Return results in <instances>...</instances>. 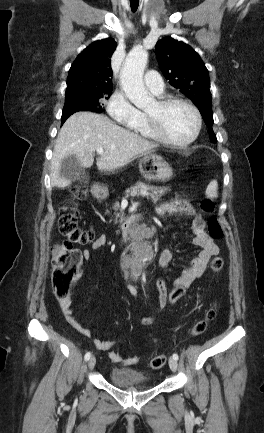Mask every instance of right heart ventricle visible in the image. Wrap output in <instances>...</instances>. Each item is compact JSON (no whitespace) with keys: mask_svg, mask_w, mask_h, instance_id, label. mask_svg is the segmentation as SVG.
Wrapping results in <instances>:
<instances>
[{"mask_svg":"<svg viewBox=\"0 0 264 433\" xmlns=\"http://www.w3.org/2000/svg\"><path fill=\"white\" fill-rule=\"evenodd\" d=\"M130 129L145 138H149V139H156L155 135L153 134V132L151 131L146 115L142 112H140V118L139 120L134 124L130 126Z\"/></svg>","mask_w":264,"mask_h":433,"instance_id":"right-heart-ventricle-1","label":"right heart ventricle"}]
</instances>
